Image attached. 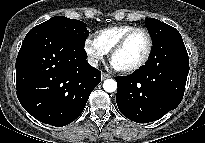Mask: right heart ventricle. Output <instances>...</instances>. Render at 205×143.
Listing matches in <instances>:
<instances>
[{
  "label": "right heart ventricle",
  "instance_id": "e07e8e85",
  "mask_svg": "<svg viewBox=\"0 0 205 143\" xmlns=\"http://www.w3.org/2000/svg\"><path fill=\"white\" fill-rule=\"evenodd\" d=\"M133 28L135 27L132 25H118L105 28L96 33V40L108 53L122 36Z\"/></svg>",
  "mask_w": 205,
  "mask_h": 143
}]
</instances>
